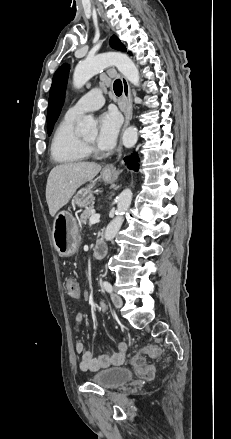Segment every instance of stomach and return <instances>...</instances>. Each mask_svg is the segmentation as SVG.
<instances>
[{
    "mask_svg": "<svg viewBox=\"0 0 231 439\" xmlns=\"http://www.w3.org/2000/svg\"><path fill=\"white\" fill-rule=\"evenodd\" d=\"M118 176L117 171H108L104 169L100 178L106 183H112ZM94 184H89L81 188L73 197L72 203L79 207H85L94 203L93 196ZM53 242L55 249L62 257L73 256L80 243V230L76 219L67 211L59 212L53 222Z\"/></svg>",
    "mask_w": 231,
    "mask_h": 439,
    "instance_id": "1",
    "label": "stomach"
}]
</instances>
